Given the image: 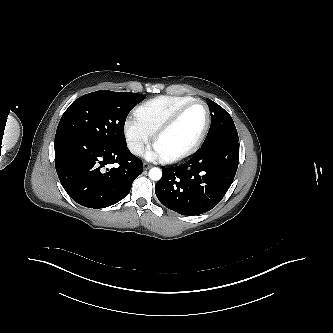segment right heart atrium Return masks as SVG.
Instances as JSON below:
<instances>
[{
	"label": "right heart atrium",
	"mask_w": 333,
	"mask_h": 333,
	"mask_svg": "<svg viewBox=\"0 0 333 333\" xmlns=\"http://www.w3.org/2000/svg\"><path fill=\"white\" fill-rule=\"evenodd\" d=\"M124 135L129 150L140 155L151 141L150 133L136 117H128L124 122Z\"/></svg>",
	"instance_id": "d8ad5b80"
}]
</instances>
